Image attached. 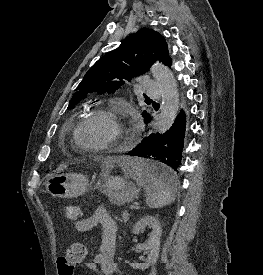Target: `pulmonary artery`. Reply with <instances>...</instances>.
<instances>
[{
  "label": "pulmonary artery",
  "mask_w": 263,
  "mask_h": 275,
  "mask_svg": "<svg viewBox=\"0 0 263 275\" xmlns=\"http://www.w3.org/2000/svg\"><path fill=\"white\" fill-rule=\"evenodd\" d=\"M143 88L145 93L151 97L160 96V86L155 81H152V80L145 81L143 84Z\"/></svg>",
  "instance_id": "1"
}]
</instances>
